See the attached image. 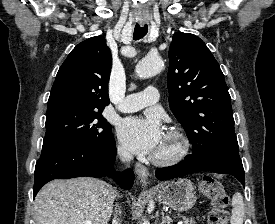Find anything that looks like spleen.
I'll return each instance as SVG.
<instances>
[{
  "mask_svg": "<svg viewBox=\"0 0 275 224\" xmlns=\"http://www.w3.org/2000/svg\"><path fill=\"white\" fill-rule=\"evenodd\" d=\"M232 215L230 224H243L245 209L243 197L240 193H235L232 197Z\"/></svg>",
  "mask_w": 275,
  "mask_h": 224,
  "instance_id": "3e777b00",
  "label": "spleen"
}]
</instances>
